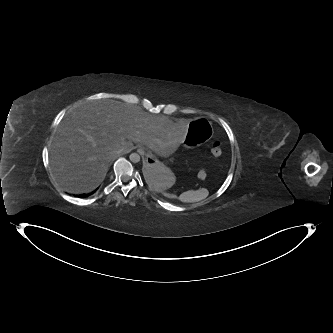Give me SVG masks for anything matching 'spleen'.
Returning <instances> with one entry per match:
<instances>
[{
  "label": "spleen",
  "instance_id": "1",
  "mask_svg": "<svg viewBox=\"0 0 333 333\" xmlns=\"http://www.w3.org/2000/svg\"><path fill=\"white\" fill-rule=\"evenodd\" d=\"M208 196L207 190L187 191L184 194L167 191L166 197L168 199L183 201V202H196L205 199Z\"/></svg>",
  "mask_w": 333,
  "mask_h": 333
}]
</instances>
